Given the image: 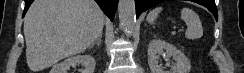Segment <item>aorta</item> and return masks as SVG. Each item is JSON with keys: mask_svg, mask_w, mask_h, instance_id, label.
<instances>
[{"mask_svg": "<svg viewBox=\"0 0 244 73\" xmlns=\"http://www.w3.org/2000/svg\"><path fill=\"white\" fill-rule=\"evenodd\" d=\"M118 13L120 25L125 34L130 35L135 29L136 11L134 0H119Z\"/></svg>", "mask_w": 244, "mask_h": 73, "instance_id": "1", "label": "aorta"}]
</instances>
